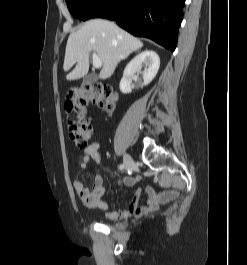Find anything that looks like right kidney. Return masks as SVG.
Instances as JSON below:
<instances>
[{
	"instance_id": "ca27d5eb",
	"label": "right kidney",
	"mask_w": 247,
	"mask_h": 265,
	"mask_svg": "<svg viewBox=\"0 0 247 265\" xmlns=\"http://www.w3.org/2000/svg\"><path fill=\"white\" fill-rule=\"evenodd\" d=\"M160 66V59L156 52L146 50L136 57H134L126 66L123 78L120 81V90L122 93L127 94L132 91L131 76L138 73L142 74L144 85H148L158 73ZM142 67L145 70L141 72Z\"/></svg>"
}]
</instances>
